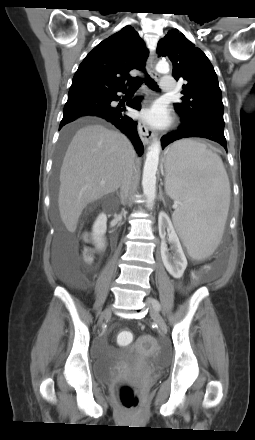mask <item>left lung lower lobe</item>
Instances as JSON below:
<instances>
[{
    "instance_id": "left-lung-lower-lobe-1",
    "label": "left lung lower lobe",
    "mask_w": 255,
    "mask_h": 440,
    "mask_svg": "<svg viewBox=\"0 0 255 440\" xmlns=\"http://www.w3.org/2000/svg\"><path fill=\"white\" fill-rule=\"evenodd\" d=\"M188 137L207 138L219 143L227 151L226 139L224 136V124L213 120H200L197 122L182 119L178 130L168 133L162 137V148L168 144Z\"/></svg>"
}]
</instances>
